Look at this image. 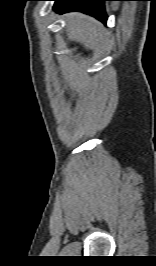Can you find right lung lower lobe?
<instances>
[{"mask_svg":"<svg viewBox=\"0 0 156 266\" xmlns=\"http://www.w3.org/2000/svg\"><path fill=\"white\" fill-rule=\"evenodd\" d=\"M55 1L54 9L59 13L81 11L106 22L104 2L108 0H52Z\"/></svg>","mask_w":156,"mask_h":266,"instance_id":"98d812e1","label":"right lung lower lobe"}]
</instances>
